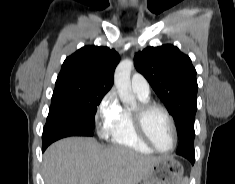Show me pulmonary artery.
Returning <instances> with one entry per match:
<instances>
[{"label": "pulmonary artery", "mask_w": 235, "mask_h": 184, "mask_svg": "<svg viewBox=\"0 0 235 184\" xmlns=\"http://www.w3.org/2000/svg\"><path fill=\"white\" fill-rule=\"evenodd\" d=\"M131 86L133 91L143 99H148L150 95V86L146 78L138 73H135L131 77Z\"/></svg>", "instance_id": "pulmonary-artery-1"}]
</instances>
